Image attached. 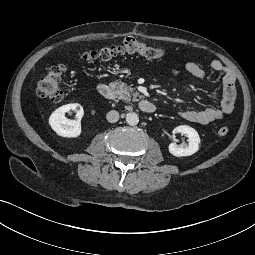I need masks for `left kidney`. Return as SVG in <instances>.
Returning a JSON list of instances; mask_svg holds the SVG:
<instances>
[{
    "label": "left kidney",
    "instance_id": "5707ae66",
    "mask_svg": "<svg viewBox=\"0 0 255 255\" xmlns=\"http://www.w3.org/2000/svg\"><path fill=\"white\" fill-rule=\"evenodd\" d=\"M175 133H180L181 135L188 137V145L183 146L177 145L176 143H170L169 152L172 155L176 157L190 156L199 150L201 140L198 132L194 128L187 125H180L174 128L173 134Z\"/></svg>",
    "mask_w": 255,
    "mask_h": 255
}]
</instances>
